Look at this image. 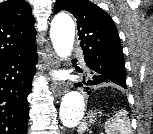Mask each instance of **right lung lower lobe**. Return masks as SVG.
<instances>
[{
    "label": "right lung lower lobe",
    "mask_w": 153,
    "mask_h": 134,
    "mask_svg": "<svg viewBox=\"0 0 153 134\" xmlns=\"http://www.w3.org/2000/svg\"><path fill=\"white\" fill-rule=\"evenodd\" d=\"M37 47L0 61V134H27Z\"/></svg>",
    "instance_id": "right-lung-lower-lobe-1"
}]
</instances>
